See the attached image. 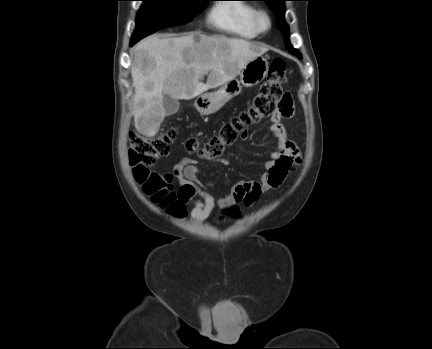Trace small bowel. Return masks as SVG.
Here are the masks:
<instances>
[{
	"mask_svg": "<svg viewBox=\"0 0 432 349\" xmlns=\"http://www.w3.org/2000/svg\"><path fill=\"white\" fill-rule=\"evenodd\" d=\"M293 114L277 112L270 118V131L274 136L277 147L270 152L269 160L264 165V172L257 181H240L236 183L231 192L218 200L203 188L199 177L197 161L184 157L173 167V176L180 185L178 198L182 205L193 203L190 219L195 222L205 221L216 204L224 207L237 203L250 205L257 201L261 194L278 188L286 176L301 162V153L289 136L284 120ZM245 135L243 136V138Z\"/></svg>",
	"mask_w": 432,
	"mask_h": 349,
	"instance_id": "1",
	"label": "small bowel"
}]
</instances>
